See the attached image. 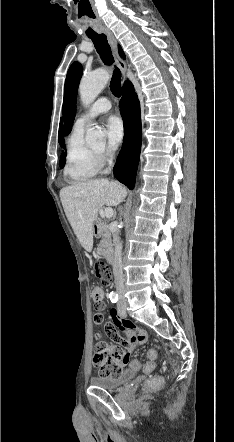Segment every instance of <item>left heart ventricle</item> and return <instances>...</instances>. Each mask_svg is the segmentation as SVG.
<instances>
[{"label": "left heart ventricle", "instance_id": "left-heart-ventricle-1", "mask_svg": "<svg viewBox=\"0 0 234 442\" xmlns=\"http://www.w3.org/2000/svg\"><path fill=\"white\" fill-rule=\"evenodd\" d=\"M94 149H95L96 151H102L103 146H102V145H99V146L95 147Z\"/></svg>", "mask_w": 234, "mask_h": 442}]
</instances>
